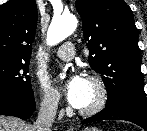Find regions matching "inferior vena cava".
Returning a JSON list of instances; mask_svg holds the SVG:
<instances>
[{
  "label": "inferior vena cava",
  "mask_w": 147,
  "mask_h": 131,
  "mask_svg": "<svg viewBox=\"0 0 147 131\" xmlns=\"http://www.w3.org/2000/svg\"><path fill=\"white\" fill-rule=\"evenodd\" d=\"M57 110V101L49 100L40 106L38 117L34 123V131H51Z\"/></svg>",
  "instance_id": "1"
}]
</instances>
